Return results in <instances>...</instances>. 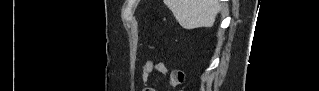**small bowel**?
Segmentation results:
<instances>
[{
	"mask_svg": "<svg viewBox=\"0 0 319 91\" xmlns=\"http://www.w3.org/2000/svg\"><path fill=\"white\" fill-rule=\"evenodd\" d=\"M167 70V67L163 63H155L153 61H147L143 66L142 78L145 82L150 79L152 74L163 73ZM182 77L181 72H173L171 74L172 83L178 84L180 78Z\"/></svg>",
	"mask_w": 319,
	"mask_h": 91,
	"instance_id": "c3829d8e",
	"label": "small bowel"
}]
</instances>
